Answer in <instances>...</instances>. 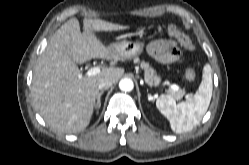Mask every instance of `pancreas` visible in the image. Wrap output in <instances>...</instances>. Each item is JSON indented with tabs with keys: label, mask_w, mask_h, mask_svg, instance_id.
Instances as JSON below:
<instances>
[{
	"label": "pancreas",
	"mask_w": 249,
	"mask_h": 165,
	"mask_svg": "<svg viewBox=\"0 0 249 165\" xmlns=\"http://www.w3.org/2000/svg\"><path fill=\"white\" fill-rule=\"evenodd\" d=\"M134 61L136 63L139 62L138 58H135ZM141 68L144 69L145 71V76H144L145 82L149 86L153 85L158 86L161 81V78L157 76L156 71L153 68H151L149 64L145 62H141ZM170 94L176 99H180L184 95V91L183 90L172 91Z\"/></svg>",
	"instance_id": "1"
}]
</instances>
